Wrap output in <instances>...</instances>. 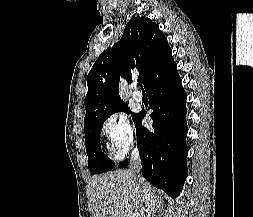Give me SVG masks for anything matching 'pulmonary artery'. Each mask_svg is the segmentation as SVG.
<instances>
[{
    "label": "pulmonary artery",
    "mask_w": 253,
    "mask_h": 217,
    "mask_svg": "<svg viewBox=\"0 0 253 217\" xmlns=\"http://www.w3.org/2000/svg\"><path fill=\"white\" fill-rule=\"evenodd\" d=\"M133 98L137 102H140L143 99V95L139 90L136 89V85H134Z\"/></svg>",
    "instance_id": "1"
}]
</instances>
